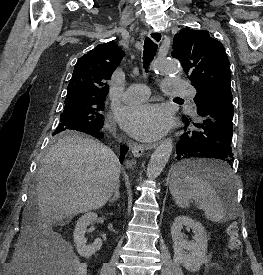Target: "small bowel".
I'll return each mask as SVG.
<instances>
[{"instance_id": "small-bowel-1", "label": "small bowel", "mask_w": 263, "mask_h": 275, "mask_svg": "<svg viewBox=\"0 0 263 275\" xmlns=\"http://www.w3.org/2000/svg\"><path fill=\"white\" fill-rule=\"evenodd\" d=\"M50 266L44 264L42 261H35L31 263L28 267L29 271L32 273L31 275H49Z\"/></svg>"}]
</instances>
